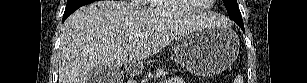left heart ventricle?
<instances>
[{"mask_svg": "<svg viewBox=\"0 0 307 83\" xmlns=\"http://www.w3.org/2000/svg\"><path fill=\"white\" fill-rule=\"evenodd\" d=\"M200 0H181L179 5L183 10H190L199 5Z\"/></svg>", "mask_w": 307, "mask_h": 83, "instance_id": "1", "label": "left heart ventricle"}]
</instances>
